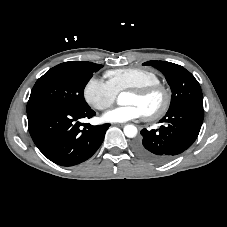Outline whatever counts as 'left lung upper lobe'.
<instances>
[{"mask_svg": "<svg viewBox=\"0 0 227 227\" xmlns=\"http://www.w3.org/2000/svg\"><path fill=\"white\" fill-rule=\"evenodd\" d=\"M143 65H150L160 70L172 90L169 111L185 107H203V96L200 85L195 77L180 65L167 61H148Z\"/></svg>", "mask_w": 227, "mask_h": 227, "instance_id": "1", "label": "left lung upper lobe"}]
</instances>
